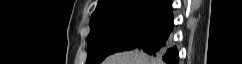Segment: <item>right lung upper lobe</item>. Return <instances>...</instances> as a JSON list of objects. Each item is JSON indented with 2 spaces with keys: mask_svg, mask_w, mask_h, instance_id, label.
Listing matches in <instances>:
<instances>
[{
  "mask_svg": "<svg viewBox=\"0 0 242 64\" xmlns=\"http://www.w3.org/2000/svg\"><path fill=\"white\" fill-rule=\"evenodd\" d=\"M141 10L167 14L172 10V2L171 0H99L90 22L114 13Z\"/></svg>",
  "mask_w": 242,
  "mask_h": 64,
  "instance_id": "right-lung-upper-lobe-1",
  "label": "right lung upper lobe"
}]
</instances>
